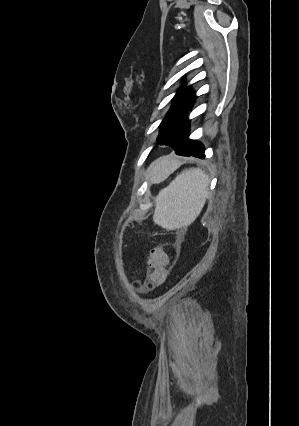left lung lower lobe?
Here are the masks:
<instances>
[{
    "label": "left lung lower lobe",
    "mask_w": 299,
    "mask_h": 426,
    "mask_svg": "<svg viewBox=\"0 0 299 426\" xmlns=\"http://www.w3.org/2000/svg\"><path fill=\"white\" fill-rule=\"evenodd\" d=\"M188 137L189 127L187 126L170 147H172L178 155L204 158L203 145L195 140H190Z\"/></svg>",
    "instance_id": "left-lung-lower-lobe-1"
}]
</instances>
